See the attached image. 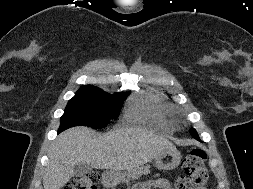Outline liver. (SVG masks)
Listing matches in <instances>:
<instances>
[{
	"label": "liver",
	"mask_w": 253,
	"mask_h": 189,
	"mask_svg": "<svg viewBox=\"0 0 253 189\" xmlns=\"http://www.w3.org/2000/svg\"><path fill=\"white\" fill-rule=\"evenodd\" d=\"M174 149L175 145L166 138L142 128H115L100 135L87 127H73L51 144L43 186L61 189L74 175L78 163L137 175L141 166L160 153Z\"/></svg>",
	"instance_id": "liver-1"
}]
</instances>
